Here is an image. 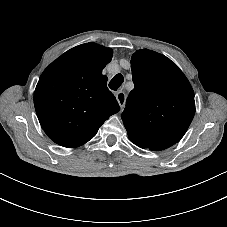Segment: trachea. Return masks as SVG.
<instances>
[{
    "label": "trachea",
    "instance_id": "trachea-1",
    "mask_svg": "<svg viewBox=\"0 0 227 227\" xmlns=\"http://www.w3.org/2000/svg\"><path fill=\"white\" fill-rule=\"evenodd\" d=\"M123 82H124V78L122 74H117L111 79L109 83V88L111 90L116 91L122 85Z\"/></svg>",
    "mask_w": 227,
    "mask_h": 227
}]
</instances>
